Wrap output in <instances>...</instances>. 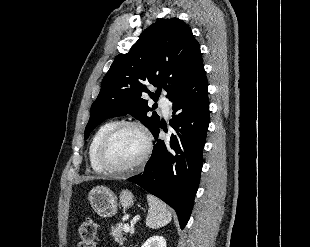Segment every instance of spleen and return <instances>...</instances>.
<instances>
[{"label": "spleen", "mask_w": 310, "mask_h": 247, "mask_svg": "<svg viewBox=\"0 0 310 247\" xmlns=\"http://www.w3.org/2000/svg\"><path fill=\"white\" fill-rule=\"evenodd\" d=\"M147 200L149 210L146 218V225L152 229L167 225L171 221L172 215L166 204L150 194L147 195Z\"/></svg>", "instance_id": "spleen-1"}]
</instances>
